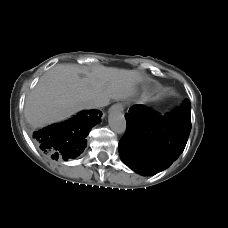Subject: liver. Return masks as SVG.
<instances>
[{"instance_id":"obj_1","label":"liver","mask_w":228,"mask_h":228,"mask_svg":"<svg viewBox=\"0 0 228 228\" xmlns=\"http://www.w3.org/2000/svg\"><path fill=\"white\" fill-rule=\"evenodd\" d=\"M144 79L136 70L98 66L89 71L59 64L40 78L26 99L24 114L31 126L42 127L86 109L88 100L106 106L110 99H129Z\"/></svg>"}]
</instances>
